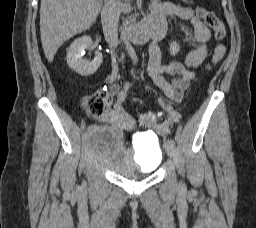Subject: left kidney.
Returning <instances> with one entry per match:
<instances>
[{
    "mask_svg": "<svg viewBox=\"0 0 256 228\" xmlns=\"http://www.w3.org/2000/svg\"><path fill=\"white\" fill-rule=\"evenodd\" d=\"M179 50H180L179 45L176 42H172L170 44L171 55L175 56L178 53Z\"/></svg>",
    "mask_w": 256,
    "mask_h": 228,
    "instance_id": "1",
    "label": "left kidney"
}]
</instances>
